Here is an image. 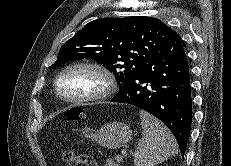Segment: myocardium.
Instances as JSON below:
<instances>
[{"label":"myocardium","instance_id":"obj_1","mask_svg":"<svg viewBox=\"0 0 231 166\" xmlns=\"http://www.w3.org/2000/svg\"><path fill=\"white\" fill-rule=\"evenodd\" d=\"M74 69H88L97 73L102 80L101 88L94 93L79 97H66L62 95L59 89V81L67 72ZM116 86V78L113 72L105 65L90 60L77 61L65 66L58 72L54 80V91L56 96L61 101L73 104L93 103L105 100L114 94Z\"/></svg>","mask_w":231,"mask_h":166}]
</instances>
